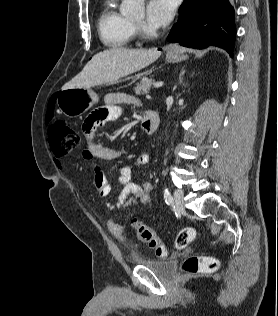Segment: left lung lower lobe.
Segmentation results:
<instances>
[{
	"label": "left lung lower lobe",
	"instance_id": "1",
	"mask_svg": "<svg viewBox=\"0 0 278 316\" xmlns=\"http://www.w3.org/2000/svg\"><path fill=\"white\" fill-rule=\"evenodd\" d=\"M234 16L230 0H184L167 39L197 49L215 45L231 55L236 36Z\"/></svg>",
	"mask_w": 278,
	"mask_h": 316
}]
</instances>
